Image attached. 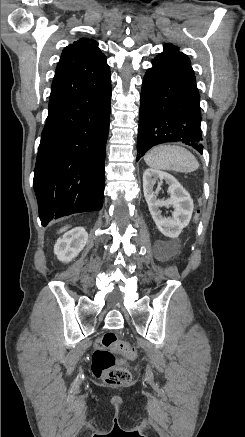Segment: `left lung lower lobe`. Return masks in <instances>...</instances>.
Here are the masks:
<instances>
[{"label": "left lung lower lobe", "instance_id": "0a47b994", "mask_svg": "<svg viewBox=\"0 0 245 437\" xmlns=\"http://www.w3.org/2000/svg\"><path fill=\"white\" fill-rule=\"evenodd\" d=\"M200 95L189 58L164 45L142 84L137 160L151 147L182 142L202 154Z\"/></svg>", "mask_w": 245, "mask_h": 437}]
</instances>
